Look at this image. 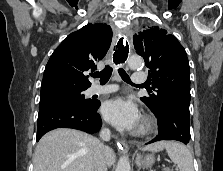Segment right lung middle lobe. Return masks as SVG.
<instances>
[{
	"mask_svg": "<svg viewBox=\"0 0 223 171\" xmlns=\"http://www.w3.org/2000/svg\"><path fill=\"white\" fill-rule=\"evenodd\" d=\"M55 102H75L85 106H91L94 104V100L85 99L83 91H72L40 98L39 108H42L46 104Z\"/></svg>",
	"mask_w": 223,
	"mask_h": 171,
	"instance_id": "1",
	"label": "right lung middle lobe"
}]
</instances>
